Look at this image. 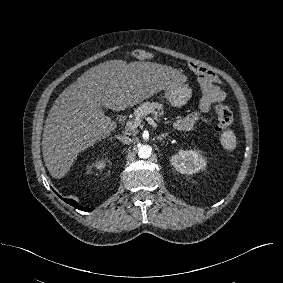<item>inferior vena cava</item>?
Instances as JSON below:
<instances>
[{
  "mask_svg": "<svg viewBox=\"0 0 283 283\" xmlns=\"http://www.w3.org/2000/svg\"><path fill=\"white\" fill-rule=\"evenodd\" d=\"M117 138L123 143V144H130L131 143V138L127 136H117Z\"/></svg>",
  "mask_w": 283,
  "mask_h": 283,
  "instance_id": "inferior-vena-cava-1",
  "label": "inferior vena cava"
}]
</instances>
